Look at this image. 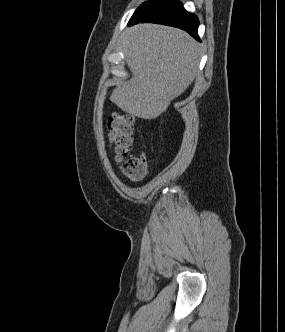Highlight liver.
<instances>
[{
	"label": "liver",
	"instance_id": "1",
	"mask_svg": "<svg viewBox=\"0 0 285 332\" xmlns=\"http://www.w3.org/2000/svg\"><path fill=\"white\" fill-rule=\"evenodd\" d=\"M201 51L200 44L180 29L156 24L131 27L125 60L133 76L113 90L110 100L132 116L157 118L193 82Z\"/></svg>",
	"mask_w": 285,
	"mask_h": 332
}]
</instances>
